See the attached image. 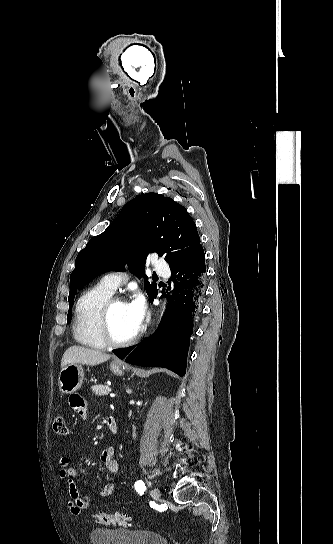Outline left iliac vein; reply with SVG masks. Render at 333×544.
Instances as JSON below:
<instances>
[{
	"mask_svg": "<svg viewBox=\"0 0 333 544\" xmlns=\"http://www.w3.org/2000/svg\"><path fill=\"white\" fill-rule=\"evenodd\" d=\"M150 495L153 499H158L160 497V490L157 488H154L151 490Z\"/></svg>",
	"mask_w": 333,
	"mask_h": 544,
	"instance_id": "obj_1",
	"label": "left iliac vein"
}]
</instances>
